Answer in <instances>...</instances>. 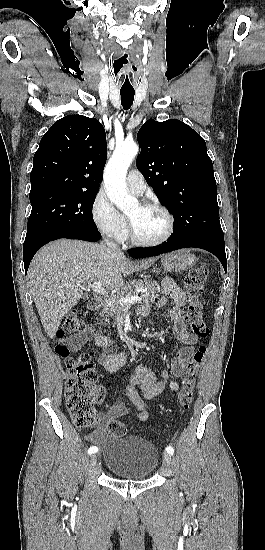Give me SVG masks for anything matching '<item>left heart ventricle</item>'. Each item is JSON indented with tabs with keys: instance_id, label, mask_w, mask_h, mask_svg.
<instances>
[{
	"instance_id": "b2bd125f",
	"label": "left heart ventricle",
	"mask_w": 265,
	"mask_h": 550,
	"mask_svg": "<svg viewBox=\"0 0 265 550\" xmlns=\"http://www.w3.org/2000/svg\"><path fill=\"white\" fill-rule=\"evenodd\" d=\"M134 226L136 235L142 240H155L167 230V218L157 209H143L139 204L127 215Z\"/></svg>"
}]
</instances>
